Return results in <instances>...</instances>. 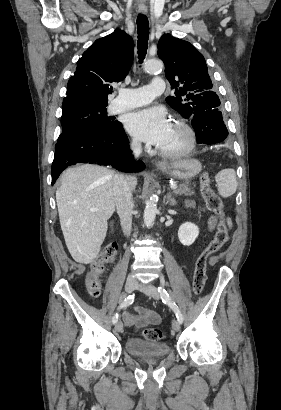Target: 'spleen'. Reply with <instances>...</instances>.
Instances as JSON below:
<instances>
[{
  "label": "spleen",
  "instance_id": "3e777b00",
  "mask_svg": "<svg viewBox=\"0 0 281 410\" xmlns=\"http://www.w3.org/2000/svg\"><path fill=\"white\" fill-rule=\"evenodd\" d=\"M217 189L223 198L230 197L236 192L237 179L234 169H223L215 176Z\"/></svg>",
  "mask_w": 281,
  "mask_h": 410
}]
</instances>
